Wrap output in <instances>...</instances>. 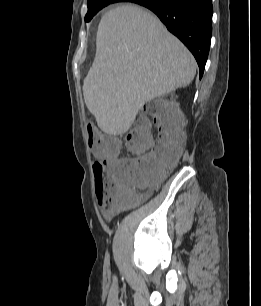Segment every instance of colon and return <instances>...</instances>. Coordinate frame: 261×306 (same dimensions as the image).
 I'll return each mask as SVG.
<instances>
[{
	"label": "colon",
	"mask_w": 261,
	"mask_h": 306,
	"mask_svg": "<svg viewBox=\"0 0 261 306\" xmlns=\"http://www.w3.org/2000/svg\"><path fill=\"white\" fill-rule=\"evenodd\" d=\"M152 124L158 129L156 140L152 136ZM86 131L94 152L111 157L110 166H104L100 161L93 163L100 206L106 210L125 203L133 188L158 184L181 154L182 118L174 108L160 100L149 103L145 115L127 135L130 150L139 155L135 158L119 159L115 156L116 139L97 136L90 125Z\"/></svg>",
	"instance_id": "1"
}]
</instances>
